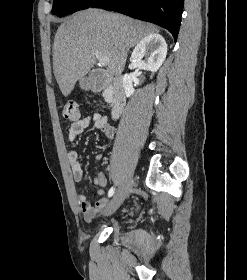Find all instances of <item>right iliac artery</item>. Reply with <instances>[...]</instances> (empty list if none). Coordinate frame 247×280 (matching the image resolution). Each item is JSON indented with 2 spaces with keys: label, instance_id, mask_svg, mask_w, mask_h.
<instances>
[{
  "label": "right iliac artery",
  "instance_id": "1",
  "mask_svg": "<svg viewBox=\"0 0 247 280\" xmlns=\"http://www.w3.org/2000/svg\"><path fill=\"white\" fill-rule=\"evenodd\" d=\"M114 190H115L114 187H111V188H110V190H109V192H108V197H112V196H113Z\"/></svg>",
  "mask_w": 247,
  "mask_h": 280
}]
</instances>
